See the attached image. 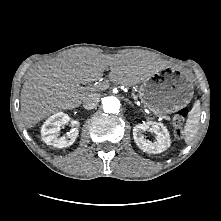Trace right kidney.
Here are the masks:
<instances>
[{"label":"right kidney","mask_w":221,"mask_h":221,"mask_svg":"<svg viewBox=\"0 0 221 221\" xmlns=\"http://www.w3.org/2000/svg\"><path fill=\"white\" fill-rule=\"evenodd\" d=\"M70 117L63 113L58 112L50 116L42 125L41 136L47 145H52L57 148H64L71 146L79 134L80 123L77 120H71L72 126H75L65 136L59 137L60 127L69 122Z\"/></svg>","instance_id":"obj_1"}]
</instances>
